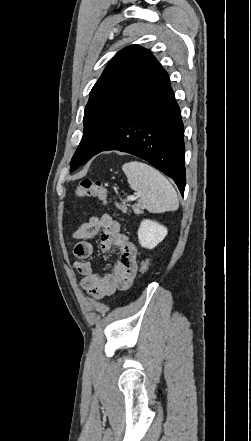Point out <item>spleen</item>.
I'll return each mask as SVG.
<instances>
[{"instance_id": "spleen-1", "label": "spleen", "mask_w": 251, "mask_h": 441, "mask_svg": "<svg viewBox=\"0 0 251 441\" xmlns=\"http://www.w3.org/2000/svg\"><path fill=\"white\" fill-rule=\"evenodd\" d=\"M130 188L137 191L141 206L152 213L175 211L179 207L177 193L172 184L156 169L138 161L122 166Z\"/></svg>"}]
</instances>
